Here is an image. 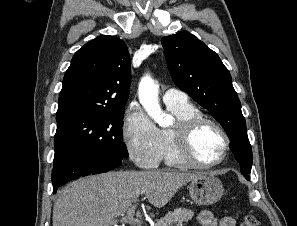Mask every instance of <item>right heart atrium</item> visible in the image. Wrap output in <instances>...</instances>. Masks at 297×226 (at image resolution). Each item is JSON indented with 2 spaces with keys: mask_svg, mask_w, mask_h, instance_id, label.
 <instances>
[{
  "mask_svg": "<svg viewBox=\"0 0 297 226\" xmlns=\"http://www.w3.org/2000/svg\"><path fill=\"white\" fill-rule=\"evenodd\" d=\"M122 138L138 167L152 169L162 160L160 131L138 103H132L126 111Z\"/></svg>",
  "mask_w": 297,
  "mask_h": 226,
  "instance_id": "d8ad5b80",
  "label": "right heart atrium"
}]
</instances>
